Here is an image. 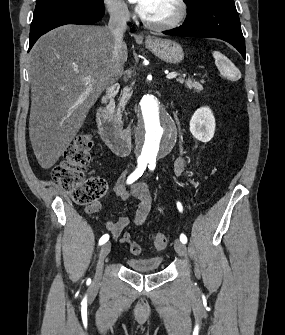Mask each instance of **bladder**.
Segmentation results:
<instances>
[{
	"mask_svg": "<svg viewBox=\"0 0 285 335\" xmlns=\"http://www.w3.org/2000/svg\"><path fill=\"white\" fill-rule=\"evenodd\" d=\"M161 255H153L143 258L129 257L128 265H131V271L150 273L155 272V265H161Z\"/></svg>",
	"mask_w": 285,
	"mask_h": 335,
	"instance_id": "obj_1",
	"label": "bladder"
}]
</instances>
